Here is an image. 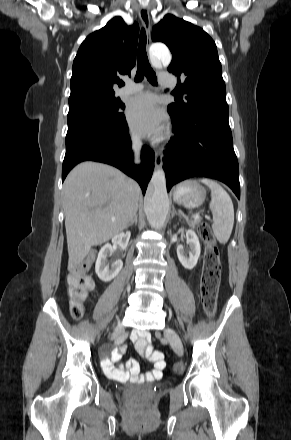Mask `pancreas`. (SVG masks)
Masks as SVG:
<instances>
[{
  "label": "pancreas",
  "mask_w": 291,
  "mask_h": 440,
  "mask_svg": "<svg viewBox=\"0 0 291 440\" xmlns=\"http://www.w3.org/2000/svg\"><path fill=\"white\" fill-rule=\"evenodd\" d=\"M187 223L191 228H195L197 225L201 224V220L199 218L194 220H187Z\"/></svg>",
  "instance_id": "cf45deb5"
}]
</instances>
